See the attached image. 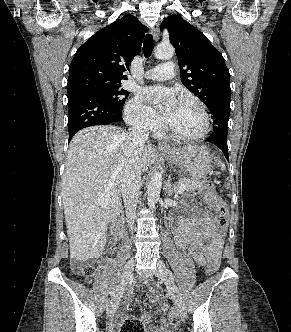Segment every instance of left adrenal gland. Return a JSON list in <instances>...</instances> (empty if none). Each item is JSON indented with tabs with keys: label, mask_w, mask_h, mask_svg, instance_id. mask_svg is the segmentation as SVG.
Listing matches in <instances>:
<instances>
[{
	"label": "left adrenal gland",
	"mask_w": 291,
	"mask_h": 332,
	"mask_svg": "<svg viewBox=\"0 0 291 332\" xmlns=\"http://www.w3.org/2000/svg\"><path fill=\"white\" fill-rule=\"evenodd\" d=\"M165 194H167L168 196H172L173 195V188H172V184H171V177L168 178L165 187Z\"/></svg>",
	"instance_id": "a2214340"
}]
</instances>
